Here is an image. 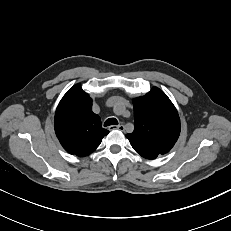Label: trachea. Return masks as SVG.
Instances as JSON below:
<instances>
[{"label":"trachea","instance_id":"1","mask_svg":"<svg viewBox=\"0 0 231 231\" xmlns=\"http://www.w3.org/2000/svg\"><path fill=\"white\" fill-rule=\"evenodd\" d=\"M118 125V121L115 118H109L105 121L104 126Z\"/></svg>","mask_w":231,"mask_h":231}]
</instances>
